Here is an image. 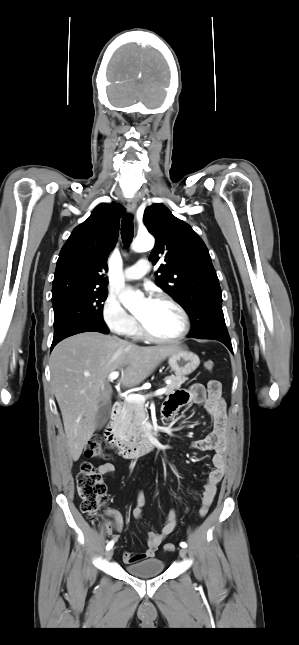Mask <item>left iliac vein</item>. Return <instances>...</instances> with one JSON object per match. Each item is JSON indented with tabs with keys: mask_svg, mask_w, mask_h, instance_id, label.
Wrapping results in <instances>:
<instances>
[{
	"mask_svg": "<svg viewBox=\"0 0 299 645\" xmlns=\"http://www.w3.org/2000/svg\"><path fill=\"white\" fill-rule=\"evenodd\" d=\"M179 554H180L181 557L184 558L187 555V550L185 548H181L179 550Z\"/></svg>",
	"mask_w": 299,
	"mask_h": 645,
	"instance_id": "obj_1",
	"label": "left iliac vein"
}]
</instances>
